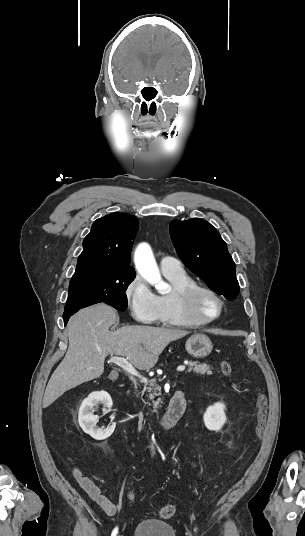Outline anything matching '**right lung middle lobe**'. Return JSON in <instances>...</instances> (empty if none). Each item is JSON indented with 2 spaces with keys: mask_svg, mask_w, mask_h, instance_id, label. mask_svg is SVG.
Wrapping results in <instances>:
<instances>
[{
  "mask_svg": "<svg viewBox=\"0 0 305 536\" xmlns=\"http://www.w3.org/2000/svg\"><path fill=\"white\" fill-rule=\"evenodd\" d=\"M134 278L135 274H89L73 277L69 284L65 311L81 309L100 302L124 311L127 309L125 291Z\"/></svg>",
  "mask_w": 305,
  "mask_h": 536,
  "instance_id": "obj_1",
  "label": "right lung middle lobe"
}]
</instances>
